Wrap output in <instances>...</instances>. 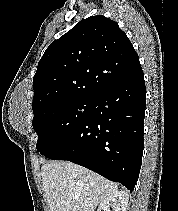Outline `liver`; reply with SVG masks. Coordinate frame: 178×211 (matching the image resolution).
<instances>
[{
  "label": "liver",
  "mask_w": 178,
  "mask_h": 211,
  "mask_svg": "<svg viewBox=\"0 0 178 211\" xmlns=\"http://www.w3.org/2000/svg\"><path fill=\"white\" fill-rule=\"evenodd\" d=\"M41 170L50 211H95L100 202L118 191L116 184L72 162H46Z\"/></svg>",
  "instance_id": "liver-1"
}]
</instances>
